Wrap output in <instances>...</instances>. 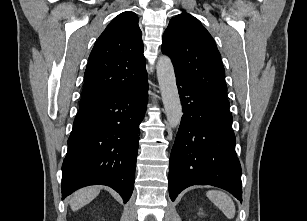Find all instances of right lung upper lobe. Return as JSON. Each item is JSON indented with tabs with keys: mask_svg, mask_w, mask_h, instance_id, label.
<instances>
[{
	"mask_svg": "<svg viewBox=\"0 0 307 221\" xmlns=\"http://www.w3.org/2000/svg\"><path fill=\"white\" fill-rule=\"evenodd\" d=\"M146 78L138 17L126 11L110 22L91 51L79 109L133 89Z\"/></svg>",
	"mask_w": 307,
	"mask_h": 221,
	"instance_id": "cb5924a9",
	"label": "right lung upper lobe"
}]
</instances>
